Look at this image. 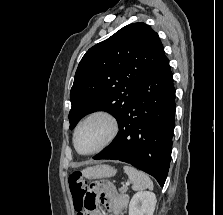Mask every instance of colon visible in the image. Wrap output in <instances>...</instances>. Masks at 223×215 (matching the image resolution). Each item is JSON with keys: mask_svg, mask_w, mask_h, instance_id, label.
Returning a JSON list of instances; mask_svg holds the SVG:
<instances>
[{"mask_svg": "<svg viewBox=\"0 0 223 215\" xmlns=\"http://www.w3.org/2000/svg\"><path fill=\"white\" fill-rule=\"evenodd\" d=\"M69 187L77 215H89L95 207L85 203L86 184L81 172L69 176Z\"/></svg>", "mask_w": 223, "mask_h": 215, "instance_id": "5ec220e1", "label": "colon"}]
</instances>
